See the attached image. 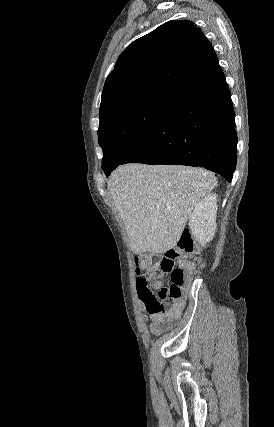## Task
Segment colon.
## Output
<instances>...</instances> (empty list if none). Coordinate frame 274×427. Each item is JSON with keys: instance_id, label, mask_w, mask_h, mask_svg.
<instances>
[{"instance_id": "obj_1", "label": "colon", "mask_w": 274, "mask_h": 427, "mask_svg": "<svg viewBox=\"0 0 274 427\" xmlns=\"http://www.w3.org/2000/svg\"><path fill=\"white\" fill-rule=\"evenodd\" d=\"M175 245L179 246L185 253H192L193 242L189 235V229H180V236L175 238ZM180 256L181 253L176 250H170L164 255H145L143 257L141 251L133 252L135 272L139 277L133 280V291L137 292L139 297H146L142 303L147 313L159 315L168 303L179 300L190 277V271L202 264L201 259L197 258L195 262L177 266L175 261L179 260ZM157 265L161 273L169 275V283L159 289L157 294H154L150 289H147L148 280L146 277L149 276V271Z\"/></svg>"}]
</instances>
